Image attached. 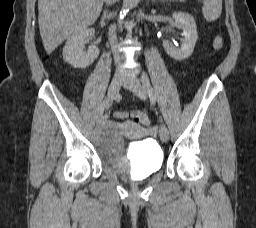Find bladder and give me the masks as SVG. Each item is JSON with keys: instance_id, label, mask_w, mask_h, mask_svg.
<instances>
[{"instance_id": "obj_1", "label": "bladder", "mask_w": 256, "mask_h": 228, "mask_svg": "<svg viewBox=\"0 0 256 228\" xmlns=\"http://www.w3.org/2000/svg\"><path fill=\"white\" fill-rule=\"evenodd\" d=\"M93 146L104 163L129 179L147 178L163 166V151L154 140L134 142L124 153V139L116 125L96 132Z\"/></svg>"}]
</instances>
